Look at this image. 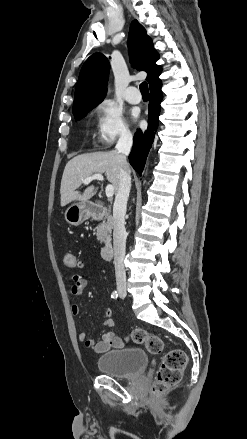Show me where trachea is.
Instances as JSON below:
<instances>
[{"mask_svg":"<svg viewBox=\"0 0 247 439\" xmlns=\"http://www.w3.org/2000/svg\"><path fill=\"white\" fill-rule=\"evenodd\" d=\"M140 91L143 96H149L148 84L147 82H142L140 84Z\"/></svg>","mask_w":247,"mask_h":439,"instance_id":"trachea-1","label":"trachea"}]
</instances>
